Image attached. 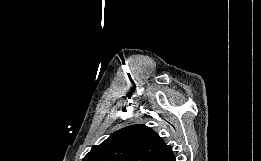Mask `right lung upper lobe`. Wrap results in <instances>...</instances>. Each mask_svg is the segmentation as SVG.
I'll return each mask as SVG.
<instances>
[{
  "instance_id": "obj_1",
  "label": "right lung upper lobe",
  "mask_w": 261,
  "mask_h": 161,
  "mask_svg": "<svg viewBox=\"0 0 261 161\" xmlns=\"http://www.w3.org/2000/svg\"><path fill=\"white\" fill-rule=\"evenodd\" d=\"M174 154L160 136L145 125H131L93 146L82 161H166Z\"/></svg>"
}]
</instances>
